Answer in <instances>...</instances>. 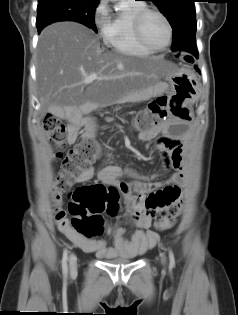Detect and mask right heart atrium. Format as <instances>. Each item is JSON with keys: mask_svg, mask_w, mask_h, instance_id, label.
Wrapping results in <instances>:
<instances>
[{"mask_svg": "<svg viewBox=\"0 0 238 315\" xmlns=\"http://www.w3.org/2000/svg\"><path fill=\"white\" fill-rule=\"evenodd\" d=\"M109 20V9L107 5L106 0H100L93 12V22L96 25V27L101 29V33L105 25L107 24Z\"/></svg>", "mask_w": 238, "mask_h": 315, "instance_id": "right-heart-atrium-1", "label": "right heart atrium"}]
</instances>
